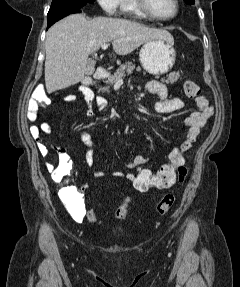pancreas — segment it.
Here are the masks:
<instances>
[{
	"mask_svg": "<svg viewBox=\"0 0 240 287\" xmlns=\"http://www.w3.org/2000/svg\"><path fill=\"white\" fill-rule=\"evenodd\" d=\"M134 69H135V65L131 61H128V62L120 65L119 68L116 70V72L113 75H109L108 80L105 82L107 86L99 88V91L108 92L109 91V85H112L118 79L123 78L126 75V73L131 74ZM136 70L141 71V68L138 67ZM179 78H180V74L173 72V73H170L167 76V79H164L163 81H165L167 84H169V83L172 84V83L178 81Z\"/></svg>",
	"mask_w": 240,
	"mask_h": 287,
	"instance_id": "1",
	"label": "pancreas"
}]
</instances>
